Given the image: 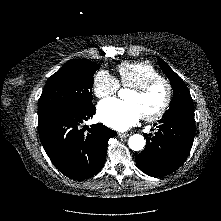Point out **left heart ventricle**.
Segmentation results:
<instances>
[{
    "label": "left heart ventricle",
    "mask_w": 221,
    "mask_h": 221,
    "mask_svg": "<svg viewBox=\"0 0 221 221\" xmlns=\"http://www.w3.org/2000/svg\"><path fill=\"white\" fill-rule=\"evenodd\" d=\"M166 96V90L164 86L158 85L151 89L148 93L139 95L131 90L126 100L134 103L143 114H151L156 112L163 104Z\"/></svg>",
    "instance_id": "left-heart-ventricle-1"
}]
</instances>
